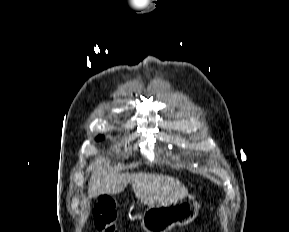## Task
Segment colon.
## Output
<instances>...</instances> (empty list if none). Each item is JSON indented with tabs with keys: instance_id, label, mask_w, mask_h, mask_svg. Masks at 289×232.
Returning <instances> with one entry per match:
<instances>
[{
	"instance_id": "5ec220e1",
	"label": "colon",
	"mask_w": 289,
	"mask_h": 232,
	"mask_svg": "<svg viewBox=\"0 0 289 232\" xmlns=\"http://www.w3.org/2000/svg\"><path fill=\"white\" fill-rule=\"evenodd\" d=\"M93 213L95 227L98 232H119L117 228L118 212L111 197L101 196Z\"/></svg>"
}]
</instances>
